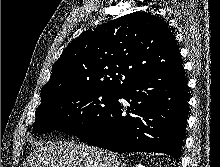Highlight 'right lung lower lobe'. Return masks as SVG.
<instances>
[{
	"label": "right lung lower lobe",
	"instance_id": "right-lung-lower-lobe-1",
	"mask_svg": "<svg viewBox=\"0 0 220 167\" xmlns=\"http://www.w3.org/2000/svg\"><path fill=\"white\" fill-rule=\"evenodd\" d=\"M119 98L130 106L124 107ZM187 100L182 65L143 77L121 88L102 119L78 137L111 151L165 153L178 159L186 129Z\"/></svg>",
	"mask_w": 220,
	"mask_h": 167
}]
</instances>
